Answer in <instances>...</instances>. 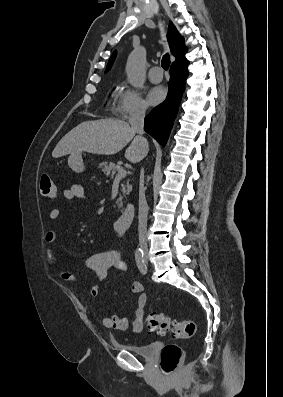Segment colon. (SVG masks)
<instances>
[{"mask_svg": "<svg viewBox=\"0 0 283 397\" xmlns=\"http://www.w3.org/2000/svg\"><path fill=\"white\" fill-rule=\"evenodd\" d=\"M39 192L47 198H55L57 194L56 185L49 174H43L39 181ZM148 328L151 332L159 336H166L171 327L174 336L177 338H190L194 335L196 325L193 321H171V319L163 314L150 312L147 316ZM183 350L180 346L170 343L167 344L161 353L160 365L165 375L173 374L181 363L183 358Z\"/></svg>", "mask_w": 283, "mask_h": 397, "instance_id": "5ec220e1", "label": "colon"}]
</instances>
